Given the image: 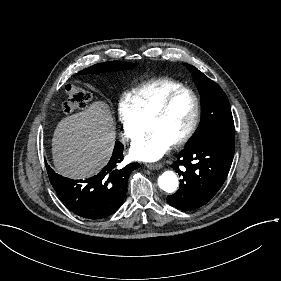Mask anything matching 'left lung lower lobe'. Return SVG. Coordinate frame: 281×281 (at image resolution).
Returning a JSON list of instances; mask_svg holds the SVG:
<instances>
[{
	"label": "left lung lower lobe",
	"mask_w": 281,
	"mask_h": 281,
	"mask_svg": "<svg viewBox=\"0 0 281 281\" xmlns=\"http://www.w3.org/2000/svg\"><path fill=\"white\" fill-rule=\"evenodd\" d=\"M233 156L234 146L211 139L187 145L172 165L183 179L179 190L167 197L168 202L181 210H195L205 205L224 183Z\"/></svg>",
	"instance_id": "left-lung-lower-lobe-1"
}]
</instances>
